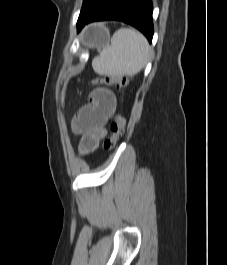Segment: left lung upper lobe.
<instances>
[{
  "instance_id": "left-lung-upper-lobe-1",
  "label": "left lung upper lobe",
  "mask_w": 227,
  "mask_h": 265,
  "mask_svg": "<svg viewBox=\"0 0 227 265\" xmlns=\"http://www.w3.org/2000/svg\"><path fill=\"white\" fill-rule=\"evenodd\" d=\"M106 0H84L78 22L90 16ZM77 22V23H78Z\"/></svg>"
}]
</instances>
